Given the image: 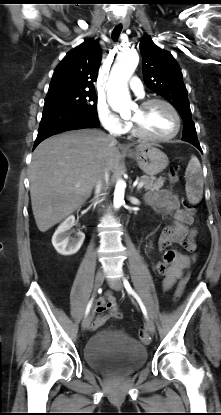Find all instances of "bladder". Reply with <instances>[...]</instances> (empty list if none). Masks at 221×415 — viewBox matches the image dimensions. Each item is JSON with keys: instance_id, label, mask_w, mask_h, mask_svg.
I'll return each mask as SVG.
<instances>
[{"instance_id": "obj_1", "label": "bladder", "mask_w": 221, "mask_h": 415, "mask_svg": "<svg viewBox=\"0 0 221 415\" xmlns=\"http://www.w3.org/2000/svg\"><path fill=\"white\" fill-rule=\"evenodd\" d=\"M143 344L121 332L103 330L93 335L84 349V358L94 370L107 374H127L147 360Z\"/></svg>"}]
</instances>
